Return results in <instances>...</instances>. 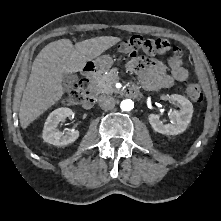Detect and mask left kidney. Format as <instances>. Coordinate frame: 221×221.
<instances>
[{
	"label": "left kidney",
	"instance_id": "obj_1",
	"mask_svg": "<svg viewBox=\"0 0 221 221\" xmlns=\"http://www.w3.org/2000/svg\"><path fill=\"white\" fill-rule=\"evenodd\" d=\"M170 99L180 105V111L174 110L169 113L171 123L164 124L155 114H150L148 119L154 131L166 135H177L184 132L190 123L193 105L187 98L178 94H172Z\"/></svg>",
	"mask_w": 221,
	"mask_h": 221
}]
</instances>
